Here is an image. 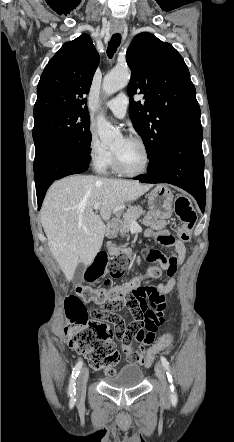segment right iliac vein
Instances as JSON below:
<instances>
[{
    "mask_svg": "<svg viewBox=\"0 0 234 442\" xmlns=\"http://www.w3.org/2000/svg\"><path fill=\"white\" fill-rule=\"evenodd\" d=\"M88 377H89L88 369L83 368L80 372L78 382H77V395L76 396L78 399H81L85 394Z\"/></svg>",
    "mask_w": 234,
    "mask_h": 442,
    "instance_id": "obj_1",
    "label": "right iliac vein"
}]
</instances>
